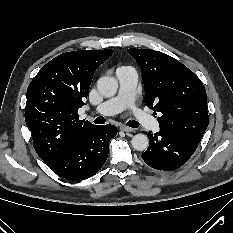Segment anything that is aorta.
<instances>
[{
    "label": "aorta",
    "mask_w": 233,
    "mask_h": 233,
    "mask_svg": "<svg viewBox=\"0 0 233 233\" xmlns=\"http://www.w3.org/2000/svg\"><path fill=\"white\" fill-rule=\"evenodd\" d=\"M97 89L104 97H112L118 89V82L115 78L104 76L97 81ZM132 147L138 151H144L149 145V139L145 134H136L132 138Z\"/></svg>",
    "instance_id": "762f6f07"
}]
</instances>
